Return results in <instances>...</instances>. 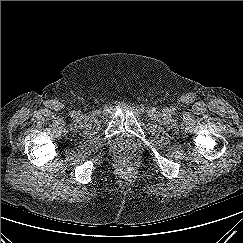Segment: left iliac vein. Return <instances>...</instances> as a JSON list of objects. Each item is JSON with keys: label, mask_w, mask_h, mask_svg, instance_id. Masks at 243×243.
Wrapping results in <instances>:
<instances>
[{"label": "left iliac vein", "mask_w": 243, "mask_h": 243, "mask_svg": "<svg viewBox=\"0 0 243 243\" xmlns=\"http://www.w3.org/2000/svg\"><path fill=\"white\" fill-rule=\"evenodd\" d=\"M164 113H168V109H164Z\"/></svg>", "instance_id": "left-iliac-vein-1"}]
</instances>
